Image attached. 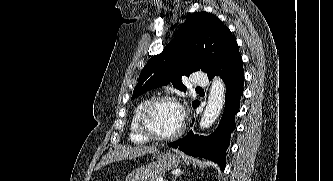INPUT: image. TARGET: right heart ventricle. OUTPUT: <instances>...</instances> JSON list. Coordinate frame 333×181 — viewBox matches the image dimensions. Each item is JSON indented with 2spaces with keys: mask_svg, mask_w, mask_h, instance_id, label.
Returning <instances> with one entry per match:
<instances>
[{
  "mask_svg": "<svg viewBox=\"0 0 333 181\" xmlns=\"http://www.w3.org/2000/svg\"><path fill=\"white\" fill-rule=\"evenodd\" d=\"M147 102V100L141 101L134 109V112L132 114L131 122H130V132H129V138L131 142L137 143V144H144L149 141L148 138H146L138 128V117L140 114V111L144 104Z\"/></svg>",
  "mask_w": 333,
  "mask_h": 181,
  "instance_id": "1",
  "label": "right heart ventricle"
}]
</instances>
